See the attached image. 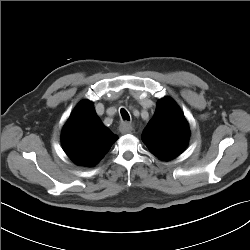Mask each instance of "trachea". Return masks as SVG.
<instances>
[{
	"label": "trachea",
	"instance_id": "3493384b",
	"mask_svg": "<svg viewBox=\"0 0 250 250\" xmlns=\"http://www.w3.org/2000/svg\"><path fill=\"white\" fill-rule=\"evenodd\" d=\"M120 113H121L122 118H123L124 120H130V116H129L128 112H127L125 109H121V110H120Z\"/></svg>",
	"mask_w": 250,
	"mask_h": 250
}]
</instances>
